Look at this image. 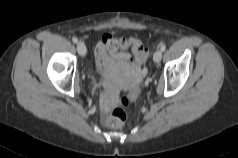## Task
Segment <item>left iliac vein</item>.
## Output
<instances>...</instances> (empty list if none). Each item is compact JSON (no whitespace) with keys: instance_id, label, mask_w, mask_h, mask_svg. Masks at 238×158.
<instances>
[{"instance_id":"left-iliac-vein-1","label":"left iliac vein","mask_w":238,"mask_h":158,"mask_svg":"<svg viewBox=\"0 0 238 158\" xmlns=\"http://www.w3.org/2000/svg\"><path fill=\"white\" fill-rule=\"evenodd\" d=\"M161 58H162V52L161 50H156L154 55H153V60L158 63L161 61Z\"/></svg>"}]
</instances>
